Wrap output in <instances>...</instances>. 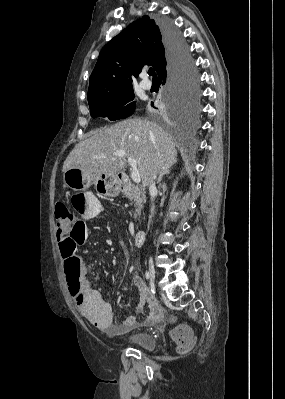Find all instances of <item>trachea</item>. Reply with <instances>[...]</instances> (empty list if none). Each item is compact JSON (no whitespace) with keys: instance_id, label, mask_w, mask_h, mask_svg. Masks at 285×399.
Instances as JSON below:
<instances>
[{"instance_id":"3493384b","label":"trachea","mask_w":285,"mask_h":399,"mask_svg":"<svg viewBox=\"0 0 285 399\" xmlns=\"http://www.w3.org/2000/svg\"><path fill=\"white\" fill-rule=\"evenodd\" d=\"M148 74L153 77V80H157L155 71L152 68L149 69Z\"/></svg>"}]
</instances>
